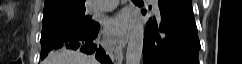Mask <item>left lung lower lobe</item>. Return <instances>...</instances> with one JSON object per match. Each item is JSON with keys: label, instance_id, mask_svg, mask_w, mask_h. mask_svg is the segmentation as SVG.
Returning a JSON list of instances; mask_svg holds the SVG:
<instances>
[{"label": "left lung lower lobe", "instance_id": "left-lung-lower-lobe-1", "mask_svg": "<svg viewBox=\"0 0 242 64\" xmlns=\"http://www.w3.org/2000/svg\"><path fill=\"white\" fill-rule=\"evenodd\" d=\"M159 18L144 32L143 64H199L192 0H158Z\"/></svg>", "mask_w": 242, "mask_h": 64}]
</instances>
